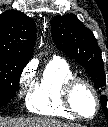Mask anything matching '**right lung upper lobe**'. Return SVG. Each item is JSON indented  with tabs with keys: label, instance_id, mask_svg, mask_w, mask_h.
Returning <instances> with one entry per match:
<instances>
[{
	"label": "right lung upper lobe",
	"instance_id": "1",
	"mask_svg": "<svg viewBox=\"0 0 108 127\" xmlns=\"http://www.w3.org/2000/svg\"><path fill=\"white\" fill-rule=\"evenodd\" d=\"M36 38V24L24 13L8 10L0 15V55L29 62Z\"/></svg>",
	"mask_w": 108,
	"mask_h": 127
}]
</instances>
